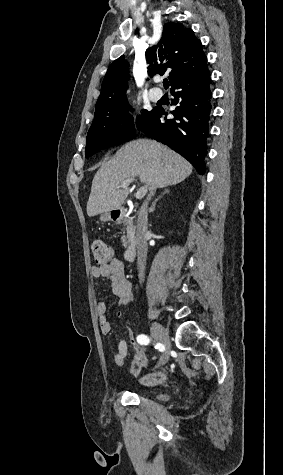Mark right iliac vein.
Returning a JSON list of instances; mask_svg holds the SVG:
<instances>
[{"label": "right iliac vein", "instance_id": "63e3f726", "mask_svg": "<svg viewBox=\"0 0 283 475\" xmlns=\"http://www.w3.org/2000/svg\"><path fill=\"white\" fill-rule=\"evenodd\" d=\"M151 334L152 337L161 343L164 344L165 346V352L160 358V365H163L168 362L169 360V352L171 349V344L169 340V334L164 326L159 324L158 322H153L151 325Z\"/></svg>", "mask_w": 283, "mask_h": 475}]
</instances>
